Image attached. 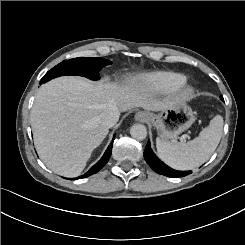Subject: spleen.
I'll return each instance as SVG.
<instances>
[{"mask_svg": "<svg viewBox=\"0 0 245 245\" xmlns=\"http://www.w3.org/2000/svg\"><path fill=\"white\" fill-rule=\"evenodd\" d=\"M223 117L215 116L198 137L187 143L171 144L156 138L159 157L176 170H191L205 163L216 150L222 136Z\"/></svg>", "mask_w": 245, "mask_h": 245, "instance_id": "spleen-1", "label": "spleen"}]
</instances>
